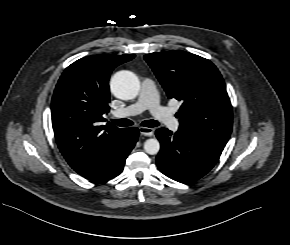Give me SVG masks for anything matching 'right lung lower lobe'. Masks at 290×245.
Returning a JSON list of instances; mask_svg holds the SVG:
<instances>
[{"mask_svg": "<svg viewBox=\"0 0 290 245\" xmlns=\"http://www.w3.org/2000/svg\"><path fill=\"white\" fill-rule=\"evenodd\" d=\"M126 144L106 164L99 169L83 175V177L97 182L107 181L119 175L125 164V160L137 142L139 131L136 127L126 128Z\"/></svg>", "mask_w": 290, "mask_h": 245, "instance_id": "1", "label": "right lung lower lobe"}]
</instances>
